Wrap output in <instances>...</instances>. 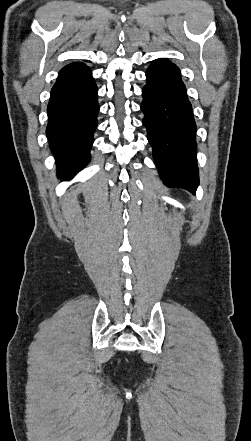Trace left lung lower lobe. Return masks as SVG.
Segmentation results:
<instances>
[{
	"mask_svg": "<svg viewBox=\"0 0 251 441\" xmlns=\"http://www.w3.org/2000/svg\"><path fill=\"white\" fill-rule=\"evenodd\" d=\"M146 77L141 110L160 177L168 187L195 193L199 184L196 124L180 70L160 58L151 63Z\"/></svg>",
	"mask_w": 251,
	"mask_h": 441,
	"instance_id": "1",
	"label": "left lung lower lobe"
}]
</instances>
